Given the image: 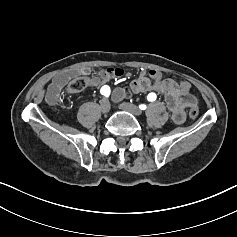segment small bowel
<instances>
[{"label":"small bowel","mask_w":237,"mask_h":237,"mask_svg":"<svg viewBox=\"0 0 237 237\" xmlns=\"http://www.w3.org/2000/svg\"><path fill=\"white\" fill-rule=\"evenodd\" d=\"M90 69L80 67L70 69L58 74L47 89L46 101L56 104L63 87L75 76L89 75ZM124 75L119 67L106 68L96 76L89 79L88 86L92 88L103 87L111 80ZM191 84L188 81H175L162 79L159 72L142 71L137 79L133 80L128 89L117 88L113 93L115 101L122 100L128 93L158 92L164 95L165 103L171 113L172 120L176 124H182L186 119V109L197 104V99L190 93Z\"/></svg>","instance_id":"c3829d8e"}]
</instances>
